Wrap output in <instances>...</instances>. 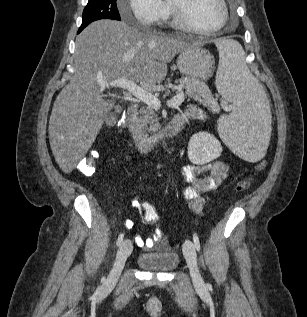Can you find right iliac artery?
<instances>
[{
	"mask_svg": "<svg viewBox=\"0 0 307 317\" xmlns=\"http://www.w3.org/2000/svg\"><path fill=\"white\" fill-rule=\"evenodd\" d=\"M123 239H124V234H123V233H121V234L118 236V239H117L116 245H117V246L121 245V243H122ZM101 281H102V282H104V281H105V277H103Z\"/></svg>",
	"mask_w": 307,
	"mask_h": 317,
	"instance_id": "82829eb1",
	"label": "right iliac artery"
}]
</instances>
